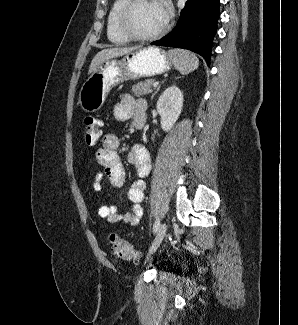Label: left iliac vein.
Wrapping results in <instances>:
<instances>
[{
  "instance_id": "left-iliac-vein-1",
  "label": "left iliac vein",
  "mask_w": 298,
  "mask_h": 325,
  "mask_svg": "<svg viewBox=\"0 0 298 325\" xmlns=\"http://www.w3.org/2000/svg\"><path fill=\"white\" fill-rule=\"evenodd\" d=\"M166 230H167V225L166 223H162L158 229H157V233H156V236H155V239L149 249V252H148V255H151L153 254L157 248L160 246L162 240L164 239V236L166 234Z\"/></svg>"
}]
</instances>
